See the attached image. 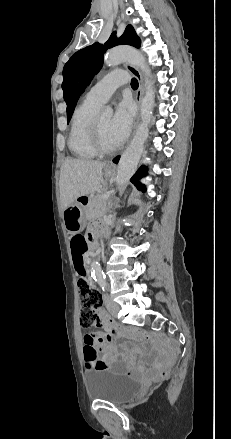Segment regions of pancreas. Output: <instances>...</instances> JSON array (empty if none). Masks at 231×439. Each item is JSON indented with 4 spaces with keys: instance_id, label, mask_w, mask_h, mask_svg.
Masks as SVG:
<instances>
[{
    "instance_id": "1",
    "label": "pancreas",
    "mask_w": 231,
    "mask_h": 439,
    "mask_svg": "<svg viewBox=\"0 0 231 439\" xmlns=\"http://www.w3.org/2000/svg\"><path fill=\"white\" fill-rule=\"evenodd\" d=\"M106 207L105 199H102V195H96L89 199L87 206L84 209L88 220L95 219L101 216Z\"/></svg>"
}]
</instances>
